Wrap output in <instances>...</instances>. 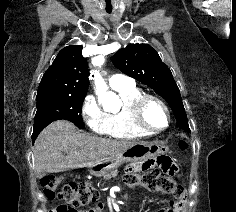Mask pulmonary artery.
I'll return each mask as SVG.
<instances>
[{
    "instance_id": "pulmonary-artery-1",
    "label": "pulmonary artery",
    "mask_w": 236,
    "mask_h": 212,
    "mask_svg": "<svg viewBox=\"0 0 236 212\" xmlns=\"http://www.w3.org/2000/svg\"><path fill=\"white\" fill-rule=\"evenodd\" d=\"M133 84V81L126 75L113 74L109 78V85L113 89L127 87Z\"/></svg>"
}]
</instances>
